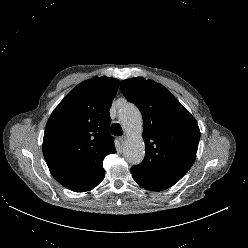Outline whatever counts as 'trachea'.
Segmentation results:
<instances>
[{"instance_id": "1", "label": "trachea", "mask_w": 248, "mask_h": 248, "mask_svg": "<svg viewBox=\"0 0 248 248\" xmlns=\"http://www.w3.org/2000/svg\"><path fill=\"white\" fill-rule=\"evenodd\" d=\"M111 134H113L114 136H121L123 135V130L122 127L119 123H113L111 125Z\"/></svg>"}]
</instances>
